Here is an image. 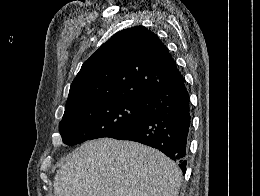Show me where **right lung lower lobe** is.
Wrapping results in <instances>:
<instances>
[{
  "label": "right lung lower lobe",
  "instance_id": "1",
  "mask_svg": "<svg viewBox=\"0 0 260 196\" xmlns=\"http://www.w3.org/2000/svg\"><path fill=\"white\" fill-rule=\"evenodd\" d=\"M146 118L112 137L131 140L151 146L178 162L186 172L191 114L189 93L184 77L138 101Z\"/></svg>",
  "mask_w": 260,
  "mask_h": 196
}]
</instances>
